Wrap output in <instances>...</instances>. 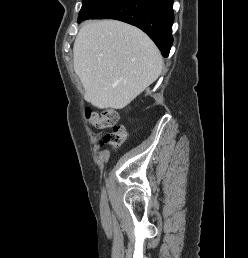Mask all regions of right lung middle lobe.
Instances as JSON below:
<instances>
[{"label":"right lung middle lobe","instance_id":"right-lung-middle-lobe-1","mask_svg":"<svg viewBox=\"0 0 248 258\" xmlns=\"http://www.w3.org/2000/svg\"><path fill=\"white\" fill-rule=\"evenodd\" d=\"M114 1L115 0H83L78 22L96 16Z\"/></svg>","mask_w":248,"mask_h":258}]
</instances>
